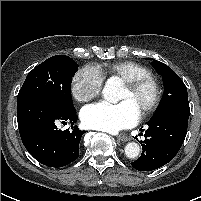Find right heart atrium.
<instances>
[{"mask_svg": "<svg viewBox=\"0 0 201 201\" xmlns=\"http://www.w3.org/2000/svg\"><path fill=\"white\" fill-rule=\"evenodd\" d=\"M102 85L103 77L98 69L92 66H84L73 76L71 92L75 100L85 103L100 94Z\"/></svg>", "mask_w": 201, "mask_h": 201, "instance_id": "d8ad5b80", "label": "right heart atrium"}]
</instances>
